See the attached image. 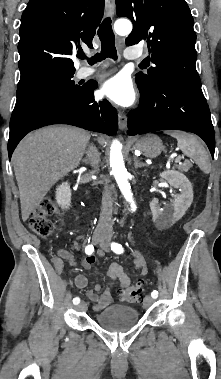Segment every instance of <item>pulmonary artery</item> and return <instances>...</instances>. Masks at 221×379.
<instances>
[{
	"label": "pulmonary artery",
	"instance_id": "obj_1",
	"mask_svg": "<svg viewBox=\"0 0 221 379\" xmlns=\"http://www.w3.org/2000/svg\"><path fill=\"white\" fill-rule=\"evenodd\" d=\"M142 55H143L142 52L138 49L128 48L125 50V57L127 59H131V60L139 59L142 57ZM96 72H97V69L95 67H81L78 70L77 75L81 78H85V77H89L93 75Z\"/></svg>",
	"mask_w": 221,
	"mask_h": 379
}]
</instances>
